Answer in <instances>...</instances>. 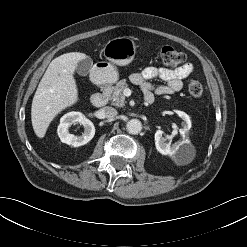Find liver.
Here are the masks:
<instances>
[{
  "instance_id": "liver-1",
  "label": "liver",
  "mask_w": 247,
  "mask_h": 247,
  "mask_svg": "<svg viewBox=\"0 0 247 247\" xmlns=\"http://www.w3.org/2000/svg\"><path fill=\"white\" fill-rule=\"evenodd\" d=\"M86 54L70 52L49 64L44 73L31 106V121L35 134L43 138L55 116L78 101V88L74 72Z\"/></svg>"
}]
</instances>
